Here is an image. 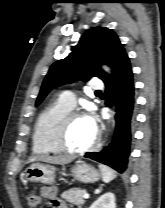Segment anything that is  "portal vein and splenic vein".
Here are the masks:
<instances>
[{
	"label": "portal vein and splenic vein",
	"instance_id": "portal-vein-and-splenic-vein-1",
	"mask_svg": "<svg viewBox=\"0 0 165 208\" xmlns=\"http://www.w3.org/2000/svg\"><path fill=\"white\" fill-rule=\"evenodd\" d=\"M84 199H88L89 198V194L85 193L83 196Z\"/></svg>",
	"mask_w": 165,
	"mask_h": 208
}]
</instances>
